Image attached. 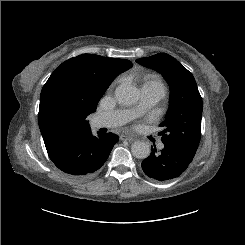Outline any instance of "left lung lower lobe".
<instances>
[{"label": "left lung lower lobe", "mask_w": 245, "mask_h": 245, "mask_svg": "<svg viewBox=\"0 0 245 245\" xmlns=\"http://www.w3.org/2000/svg\"><path fill=\"white\" fill-rule=\"evenodd\" d=\"M164 149L159 153L156 148L142 162L144 173L158 181H168L179 177L188 167L193 155L182 148L164 143Z\"/></svg>", "instance_id": "1"}]
</instances>
